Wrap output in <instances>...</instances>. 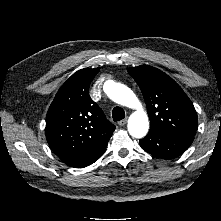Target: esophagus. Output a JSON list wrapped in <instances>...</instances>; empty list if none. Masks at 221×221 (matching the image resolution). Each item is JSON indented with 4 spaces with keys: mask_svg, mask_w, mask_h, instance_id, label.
<instances>
[{
    "mask_svg": "<svg viewBox=\"0 0 221 221\" xmlns=\"http://www.w3.org/2000/svg\"><path fill=\"white\" fill-rule=\"evenodd\" d=\"M126 123H127V119L125 118V119L119 121V122H118V125H119V126H124Z\"/></svg>",
    "mask_w": 221,
    "mask_h": 221,
    "instance_id": "esophagus-1",
    "label": "esophagus"
}]
</instances>
